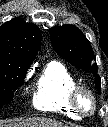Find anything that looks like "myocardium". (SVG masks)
<instances>
[{
  "mask_svg": "<svg viewBox=\"0 0 108 127\" xmlns=\"http://www.w3.org/2000/svg\"><path fill=\"white\" fill-rule=\"evenodd\" d=\"M84 99L88 101V105L84 104ZM71 104L81 115H91L96 109V99L93 92L79 85H77L71 93Z\"/></svg>",
  "mask_w": 108,
  "mask_h": 127,
  "instance_id": "f54148a6",
  "label": "myocardium"
}]
</instances>
